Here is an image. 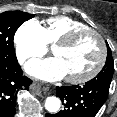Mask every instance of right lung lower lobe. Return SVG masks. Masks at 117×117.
<instances>
[{
    "label": "right lung lower lobe",
    "instance_id": "obj_1",
    "mask_svg": "<svg viewBox=\"0 0 117 117\" xmlns=\"http://www.w3.org/2000/svg\"><path fill=\"white\" fill-rule=\"evenodd\" d=\"M32 80L23 76L18 62L0 63V117H13L18 91L28 90Z\"/></svg>",
    "mask_w": 117,
    "mask_h": 117
}]
</instances>
